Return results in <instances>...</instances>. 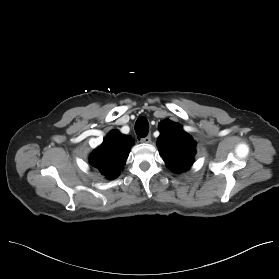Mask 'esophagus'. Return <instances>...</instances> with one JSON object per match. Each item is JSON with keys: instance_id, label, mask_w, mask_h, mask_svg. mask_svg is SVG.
<instances>
[{"instance_id": "obj_1", "label": "esophagus", "mask_w": 279, "mask_h": 279, "mask_svg": "<svg viewBox=\"0 0 279 279\" xmlns=\"http://www.w3.org/2000/svg\"><path fill=\"white\" fill-rule=\"evenodd\" d=\"M140 141L142 143H150L151 142V135H148V136H146L144 138H141Z\"/></svg>"}]
</instances>
